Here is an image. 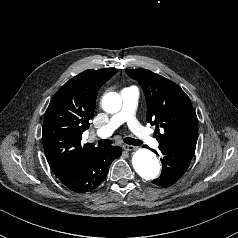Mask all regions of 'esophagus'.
Segmentation results:
<instances>
[{
    "instance_id": "esophagus-1",
    "label": "esophagus",
    "mask_w": 238,
    "mask_h": 238,
    "mask_svg": "<svg viewBox=\"0 0 238 238\" xmlns=\"http://www.w3.org/2000/svg\"><path fill=\"white\" fill-rule=\"evenodd\" d=\"M122 147H123V149H124L125 151H134V150L137 149L136 146H133V145H127V144L123 145Z\"/></svg>"
}]
</instances>
